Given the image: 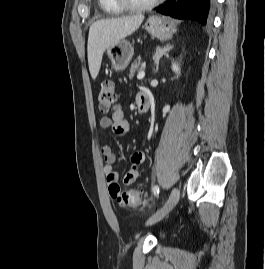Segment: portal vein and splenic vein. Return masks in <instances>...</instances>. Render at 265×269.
Instances as JSON below:
<instances>
[{
  "instance_id": "portal-vein-and-splenic-vein-1",
  "label": "portal vein and splenic vein",
  "mask_w": 265,
  "mask_h": 269,
  "mask_svg": "<svg viewBox=\"0 0 265 269\" xmlns=\"http://www.w3.org/2000/svg\"><path fill=\"white\" fill-rule=\"evenodd\" d=\"M145 77V71L141 70L138 75H137V79L141 80Z\"/></svg>"
}]
</instances>
